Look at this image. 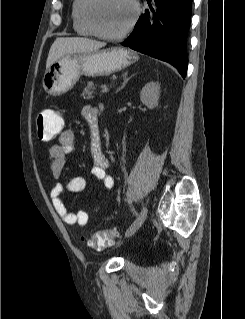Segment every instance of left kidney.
Returning <instances> with one entry per match:
<instances>
[{
    "mask_svg": "<svg viewBox=\"0 0 245 319\" xmlns=\"http://www.w3.org/2000/svg\"><path fill=\"white\" fill-rule=\"evenodd\" d=\"M159 97L160 85L157 82L147 83L140 92L141 102L150 109L158 106Z\"/></svg>",
    "mask_w": 245,
    "mask_h": 319,
    "instance_id": "obj_1",
    "label": "left kidney"
}]
</instances>
